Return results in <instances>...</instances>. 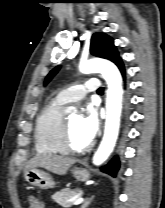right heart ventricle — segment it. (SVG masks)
Returning a JSON list of instances; mask_svg holds the SVG:
<instances>
[{"mask_svg": "<svg viewBox=\"0 0 165 208\" xmlns=\"http://www.w3.org/2000/svg\"><path fill=\"white\" fill-rule=\"evenodd\" d=\"M64 104L51 100L36 119L34 141L37 152L46 155L64 153L61 148V129L64 121Z\"/></svg>", "mask_w": 165, "mask_h": 208, "instance_id": "obj_1", "label": "right heart ventricle"}]
</instances>
